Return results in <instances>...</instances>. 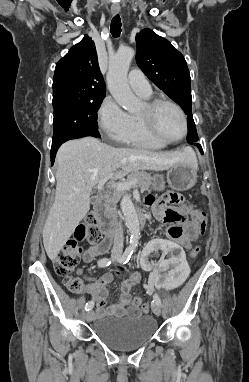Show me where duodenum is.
Returning a JSON list of instances; mask_svg holds the SVG:
<instances>
[{
    "instance_id": "1",
    "label": "duodenum",
    "mask_w": 249,
    "mask_h": 382,
    "mask_svg": "<svg viewBox=\"0 0 249 382\" xmlns=\"http://www.w3.org/2000/svg\"><path fill=\"white\" fill-rule=\"evenodd\" d=\"M107 197L105 195H100L94 205V212L98 220L100 221L102 230L106 238H115L118 235L116 224L106 215L107 211ZM139 227H143L145 224V217L142 212L139 214Z\"/></svg>"
}]
</instances>
